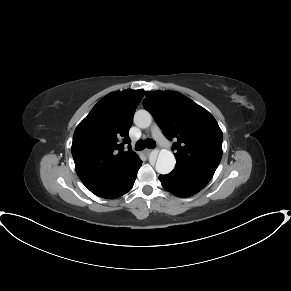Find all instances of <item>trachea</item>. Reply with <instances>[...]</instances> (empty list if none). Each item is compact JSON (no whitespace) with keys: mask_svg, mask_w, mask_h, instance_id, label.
<instances>
[{"mask_svg":"<svg viewBox=\"0 0 291 291\" xmlns=\"http://www.w3.org/2000/svg\"><path fill=\"white\" fill-rule=\"evenodd\" d=\"M155 146H156V142L153 139H147L146 141H143V140L137 141L135 148H136V150L141 151L145 147L152 149Z\"/></svg>","mask_w":291,"mask_h":291,"instance_id":"obj_1","label":"trachea"}]
</instances>
